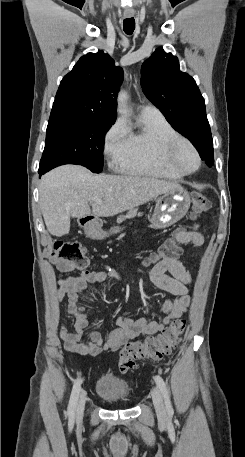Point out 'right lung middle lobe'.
<instances>
[{"label":"right lung middle lobe","instance_id":"right-lung-middle-lobe-1","mask_svg":"<svg viewBox=\"0 0 245 457\" xmlns=\"http://www.w3.org/2000/svg\"><path fill=\"white\" fill-rule=\"evenodd\" d=\"M115 120L80 113L51 114L38 173L62 164H80L100 173L104 136Z\"/></svg>","mask_w":245,"mask_h":457}]
</instances>
